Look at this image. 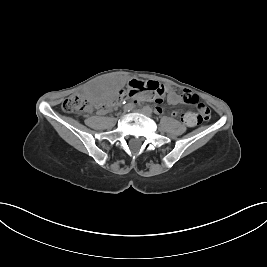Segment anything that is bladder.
<instances>
[{
  "instance_id": "31cf9c89",
  "label": "bladder",
  "mask_w": 267,
  "mask_h": 267,
  "mask_svg": "<svg viewBox=\"0 0 267 267\" xmlns=\"http://www.w3.org/2000/svg\"><path fill=\"white\" fill-rule=\"evenodd\" d=\"M112 88V87H111ZM117 90V86L112 88V92L114 93Z\"/></svg>"
}]
</instances>
